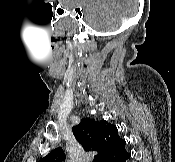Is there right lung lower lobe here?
Returning a JSON list of instances; mask_svg holds the SVG:
<instances>
[{
	"label": "right lung lower lobe",
	"mask_w": 175,
	"mask_h": 162,
	"mask_svg": "<svg viewBox=\"0 0 175 162\" xmlns=\"http://www.w3.org/2000/svg\"><path fill=\"white\" fill-rule=\"evenodd\" d=\"M130 158V154L124 149L116 157H114L110 162H126Z\"/></svg>",
	"instance_id": "right-lung-lower-lobe-1"
}]
</instances>
